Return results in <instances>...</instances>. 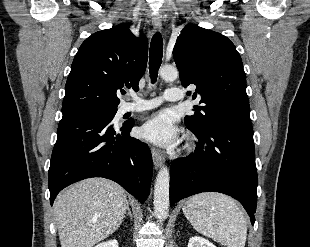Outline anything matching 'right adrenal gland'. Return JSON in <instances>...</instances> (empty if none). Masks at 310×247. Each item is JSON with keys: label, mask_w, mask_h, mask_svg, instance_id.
I'll return each mask as SVG.
<instances>
[{"label": "right adrenal gland", "mask_w": 310, "mask_h": 247, "mask_svg": "<svg viewBox=\"0 0 310 247\" xmlns=\"http://www.w3.org/2000/svg\"><path fill=\"white\" fill-rule=\"evenodd\" d=\"M126 216H129L130 219H132V213H131V210L129 208V205L127 206V215Z\"/></svg>", "instance_id": "1"}]
</instances>
